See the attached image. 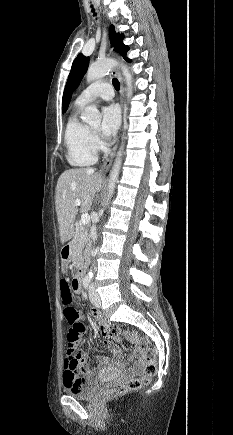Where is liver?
<instances>
[{
  "instance_id": "obj_1",
  "label": "liver",
  "mask_w": 233,
  "mask_h": 435,
  "mask_svg": "<svg viewBox=\"0 0 233 435\" xmlns=\"http://www.w3.org/2000/svg\"><path fill=\"white\" fill-rule=\"evenodd\" d=\"M103 178L93 168H76L64 171L56 186V212L61 243L74 234L77 213L76 199L81 201V211L90 210L95 193L100 190Z\"/></svg>"
}]
</instances>
